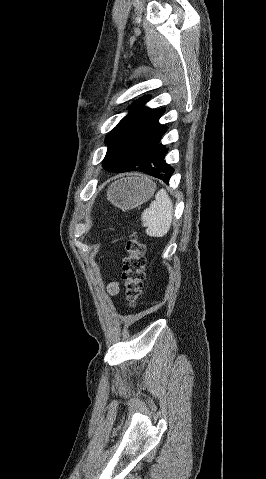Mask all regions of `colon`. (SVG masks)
<instances>
[{"label": "colon", "instance_id": "5ec220e1", "mask_svg": "<svg viewBox=\"0 0 266 479\" xmlns=\"http://www.w3.org/2000/svg\"><path fill=\"white\" fill-rule=\"evenodd\" d=\"M145 245L139 237H129L124 244L123 278L126 300L135 305L143 292L145 280Z\"/></svg>", "mask_w": 266, "mask_h": 479}]
</instances>
